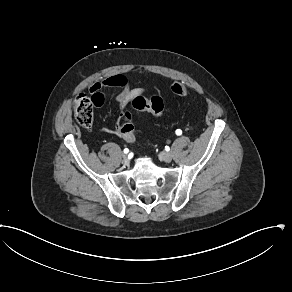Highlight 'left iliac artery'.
Listing matches in <instances>:
<instances>
[{
	"instance_id": "left-iliac-artery-1",
	"label": "left iliac artery",
	"mask_w": 292,
	"mask_h": 292,
	"mask_svg": "<svg viewBox=\"0 0 292 292\" xmlns=\"http://www.w3.org/2000/svg\"><path fill=\"white\" fill-rule=\"evenodd\" d=\"M176 134H177V135H181V134H182V131H181L180 129H177V130H176Z\"/></svg>"
}]
</instances>
